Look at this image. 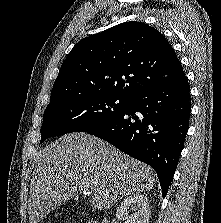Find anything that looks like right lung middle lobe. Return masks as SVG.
<instances>
[{
    "label": "right lung middle lobe",
    "mask_w": 221,
    "mask_h": 223,
    "mask_svg": "<svg viewBox=\"0 0 221 223\" xmlns=\"http://www.w3.org/2000/svg\"><path fill=\"white\" fill-rule=\"evenodd\" d=\"M130 101L115 95L84 94L49 103L43 116L40 143L50 137L99 127L125 111Z\"/></svg>",
    "instance_id": "dd1d6c3e"
}]
</instances>
